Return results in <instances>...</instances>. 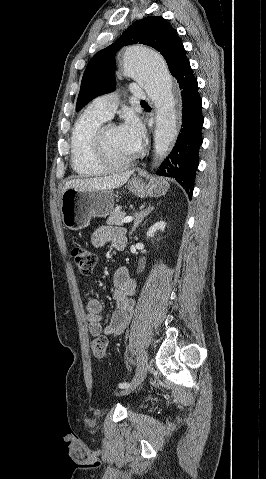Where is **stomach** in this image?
I'll list each match as a JSON object with an SVG mask.
<instances>
[{
	"label": "stomach",
	"instance_id": "1",
	"mask_svg": "<svg viewBox=\"0 0 266 479\" xmlns=\"http://www.w3.org/2000/svg\"><path fill=\"white\" fill-rule=\"evenodd\" d=\"M129 190L139 197L164 195L169 184L164 179H152L147 185L142 178L135 177L128 183ZM114 209L111 190L67 189L62 193L60 212L64 226L70 230L86 228L92 218L106 217Z\"/></svg>",
	"mask_w": 266,
	"mask_h": 479
}]
</instances>
